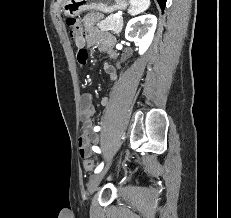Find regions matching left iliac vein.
<instances>
[{
  "label": "left iliac vein",
  "mask_w": 231,
  "mask_h": 218,
  "mask_svg": "<svg viewBox=\"0 0 231 218\" xmlns=\"http://www.w3.org/2000/svg\"><path fill=\"white\" fill-rule=\"evenodd\" d=\"M109 166H110V164H108L103 170H101L100 172L92 175L89 178L88 191H89L90 194H92L94 191H96L99 183L101 182V180L105 176L106 172L108 171Z\"/></svg>",
  "instance_id": "left-iliac-vein-1"
}]
</instances>
